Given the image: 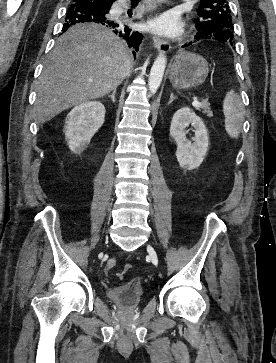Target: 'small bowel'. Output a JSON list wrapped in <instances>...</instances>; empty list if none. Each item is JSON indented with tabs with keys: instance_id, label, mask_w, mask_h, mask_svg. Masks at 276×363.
<instances>
[{
	"instance_id": "obj_1",
	"label": "small bowel",
	"mask_w": 276,
	"mask_h": 363,
	"mask_svg": "<svg viewBox=\"0 0 276 363\" xmlns=\"http://www.w3.org/2000/svg\"><path fill=\"white\" fill-rule=\"evenodd\" d=\"M116 263V258H110L106 264V270H110Z\"/></svg>"
}]
</instances>
